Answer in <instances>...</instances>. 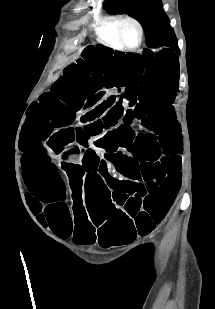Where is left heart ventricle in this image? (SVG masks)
Wrapping results in <instances>:
<instances>
[{"mask_svg": "<svg viewBox=\"0 0 215 309\" xmlns=\"http://www.w3.org/2000/svg\"><path fill=\"white\" fill-rule=\"evenodd\" d=\"M123 35V44L130 46L135 44L136 40H137V35H136V31L133 27L131 26H126L124 27L121 32Z\"/></svg>", "mask_w": 215, "mask_h": 309, "instance_id": "left-heart-ventricle-1", "label": "left heart ventricle"}]
</instances>
